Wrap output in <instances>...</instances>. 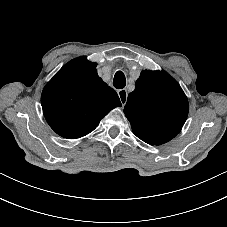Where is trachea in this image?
I'll use <instances>...</instances> for the list:
<instances>
[{"instance_id":"obj_1","label":"trachea","mask_w":227,"mask_h":227,"mask_svg":"<svg viewBox=\"0 0 227 227\" xmlns=\"http://www.w3.org/2000/svg\"><path fill=\"white\" fill-rule=\"evenodd\" d=\"M126 85V77L122 71H117L114 75L113 86L117 89H122Z\"/></svg>"}]
</instances>
